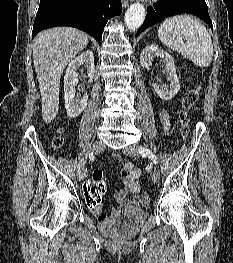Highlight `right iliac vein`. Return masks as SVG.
I'll use <instances>...</instances> for the list:
<instances>
[{"label": "right iliac vein", "instance_id": "1", "mask_svg": "<svg viewBox=\"0 0 233 263\" xmlns=\"http://www.w3.org/2000/svg\"><path fill=\"white\" fill-rule=\"evenodd\" d=\"M105 149V144L102 141L96 142L91 149L89 150L88 154H98ZM86 161L87 156L84 157L78 164L77 167V176L79 180H83L86 177Z\"/></svg>", "mask_w": 233, "mask_h": 263}]
</instances>
